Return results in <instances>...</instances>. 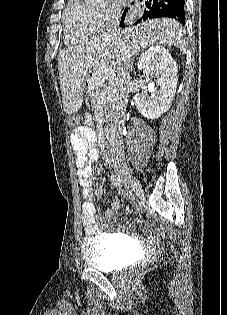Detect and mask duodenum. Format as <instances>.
<instances>
[{
  "label": "duodenum",
  "instance_id": "duodenum-1",
  "mask_svg": "<svg viewBox=\"0 0 227 315\" xmlns=\"http://www.w3.org/2000/svg\"><path fill=\"white\" fill-rule=\"evenodd\" d=\"M109 139H110V135L107 134V135H105V136L103 137L102 141H103L104 144H108Z\"/></svg>",
  "mask_w": 227,
  "mask_h": 315
}]
</instances>
